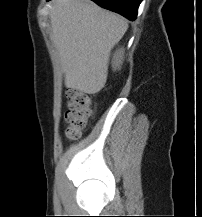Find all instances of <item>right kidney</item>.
Wrapping results in <instances>:
<instances>
[{"instance_id":"right-kidney-1","label":"right kidney","mask_w":202,"mask_h":217,"mask_svg":"<svg viewBox=\"0 0 202 217\" xmlns=\"http://www.w3.org/2000/svg\"><path fill=\"white\" fill-rule=\"evenodd\" d=\"M123 59H124V50L123 49L117 50L114 53L113 59H112V67L114 70L121 68V65L123 63Z\"/></svg>"}]
</instances>
